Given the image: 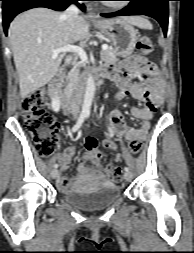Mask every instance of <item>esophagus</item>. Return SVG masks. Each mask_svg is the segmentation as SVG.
Listing matches in <instances>:
<instances>
[{
    "instance_id": "obj_1",
    "label": "esophagus",
    "mask_w": 194,
    "mask_h": 253,
    "mask_svg": "<svg viewBox=\"0 0 194 253\" xmlns=\"http://www.w3.org/2000/svg\"><path fill=\"white\" fill-rule=\"evenodd\" d=\"M87 17L92 20H98L99 16L93 12L91 9H88Z\"/></svg>"
}]
</instances>
